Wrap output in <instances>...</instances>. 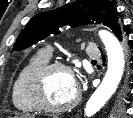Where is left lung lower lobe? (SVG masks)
Masks as SVG:
<instances>
[{
  "mask_svg": "<svg viewBox=\"0 0 133 118\" xmlns=\"http://www.w3.org/2000/svg\"><path fill=\"white\" fill-rule=\"evenodd\" d=\"M113 33L116 35V37H117L120 41H123L125 45L127 44L126 38H125V36L122 34V30H121L120 25L116 26V27L113 29ZM126 48H127V47H126ZM132 58H133V57H132Z\"/></svg>",
  "mask_w": 133,
  "mask_h": 118,
  "instance_id": "obj_1",
  "label": "left lung lower lobe"
}]
</instances>
